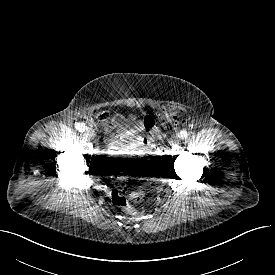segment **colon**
<instances>
[{
	"label": "colon",
	"mask_w": 275,
	"mask_h": 275,
	"mask_svg": "<svg viewBox=\"0 0 275 275\" xmlns=\"http://www.w3.org/2000/svg\"><path fill=\"white\" fill-rule=\"evenodd\" d=\"M163 117L176 125L184 124L187 122L189 113L182 105L172 104L163 107ZM98 120L105 121L108 118V113L102 111L97 115ZM148 136L145 139V145L153 150L154 142L159 134L158 128L155 126L153 120L149 117L145 120ZM158 157H153L152 162H155ZM127 170L125 167H118L114 172V181L111 189V202L115 207L121 208L128 213H133L134 209L131 206V202H140L145 198V192L143 190H135L128 192L126 184Z\"/></svg>",
	"instance_id": "obj_1"
}]
</instances>
